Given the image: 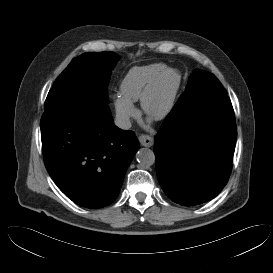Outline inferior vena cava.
I'll return each instance as SVG.
<instances>
[{"label": "inferior vena cava", "mask_w": 273, "mask_h": 273, "mask_svg": "<svg viewBox=\"0 0 273 273\" xmlns=\"http://www.w3.org/2000/svg\"><path fill=\"white\" fill-rule=\"evenodd\" d=\"M115 125L123 130H128L131 128V122L128 116L117 115L114 120Z\"/></svg>", "instance_id": "1"}]
</instances>
